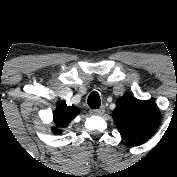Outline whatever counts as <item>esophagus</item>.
I'll list each match as a JSON object with an SVG mask.
<instances>
[{
	"instance_id": "1",
	"label": "esophagus",
	"mask_w": 177,
	"mask_h": 177,
	"mask_svg": "<svg viewBox=\"0 0 177 177\" xmlns=\"http://www.w3.org/2000/svg\"><path fill=\"white\" fill-rule=\"evenodd\" d=\"M104 111H105V108H104V106H102L98 109H91L90 114L91 115H102L104 113Z\"/></svg>"
}]
</instances>
